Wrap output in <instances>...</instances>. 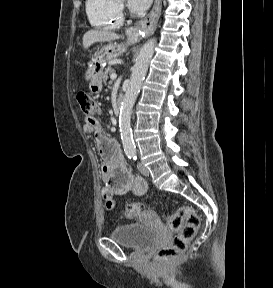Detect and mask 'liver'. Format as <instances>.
<instances>
[{
  "label": "liver",
  "instance_id": "obj_1",
  "mask_svg": "<svg viewBox=\"0 0 273 288\" xmlns=\"http://www.w3.org/2000/svg\"><path fill=\"white\" fill-rule=\"evenodd\" d=\"M119 38L118 34L105 29L89 30L83 36V47L87 49L96 42H108Z\"/></svg>",
  "mask_w": 273,
  "mask_h": 288
}]
</instances>
